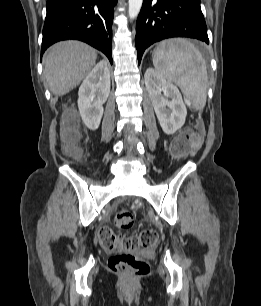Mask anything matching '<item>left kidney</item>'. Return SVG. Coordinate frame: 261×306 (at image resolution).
I'll return each mask as SVG.
<instances>
[{
  "instance_id": "5707ae66",
  "label": "left kidney",
  "mask_w": 261,
  "mask_h": 306,
  "mask_svg": "<svg viewBox=\"0 0 261 306\" xmlns=\"http://www.w3.org/2000/svg\"><path fill=\"white\" fill-rule=\"evenodd\" d=\"M144 78L162 130L168 135L174 134L184 125L187 115L181 93L153 68L146 70Z\"/></svg>"
}]
</instances>
